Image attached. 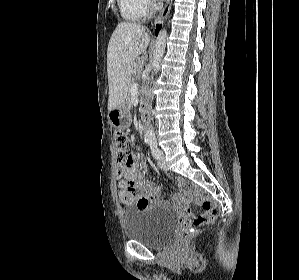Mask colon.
<instances>
[{"label": "colon", "mask_w": 299, "mask_h": 280, "mask_svg": "<svg viewBox=\"0 0 299 280\" xmlns=\"http://www.w3.org/2000/svg\"><path fill=\"white\" fill-rule=\"evenodd\" d=\"M114 144L118 171L119 174H122L133 162V155L128 149L127 133L120 129L115 130ZM184 188L192 193L190 196L191 201L203 209L199 215H192L189 212H185L182 215L180 222L185 236L188 237L197 233L201 226L213 222L217 218L219 210L212 201L206 199L203 194L198 192L193 184L186 182Z\"/></svg>", "instance_id": "obj_1"}]
</instances>
